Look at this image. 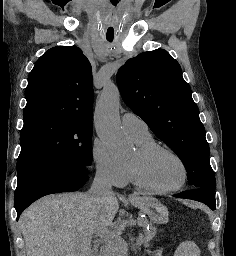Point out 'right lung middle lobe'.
<instances>
[{"mask_svg": "<svg viewBox=\"0 0 236 256\" xmlns=\"http://www.w3.org/2000/svg\"><path fill=\"white\" fill-rule=\"evenodd\" d=\"M92 130V122L53 117L24 121L17 161L18 181L28 173L43 168L67 164L91 167Z\"/></svg>", "mask_w": 236, "mask_h": 256, "instance_id": "right-lung-middle-lobe-1", "label": "right lung middle lobe"}]
</instances>
